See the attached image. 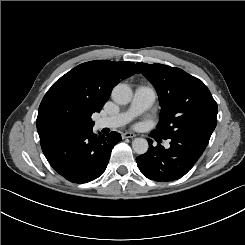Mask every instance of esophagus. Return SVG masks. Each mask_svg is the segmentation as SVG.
<instances>
[{"instance_id":"1","label":"esophagus","mask_w":245,"mask_h":245,"mask_svg":"<svg viewBox=\"0 0 245 245\" xmlns=\"http://www.w3.org/2000/svg\"><path fill=\"white\" fill-rule=\"evenodd\" d=\"M136 134L132 133V132H124L121 137L122 139H125V138H132V137H135Z\"/></svg>"}]
</instances>
